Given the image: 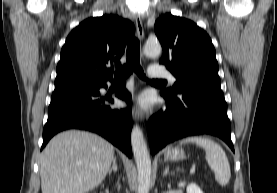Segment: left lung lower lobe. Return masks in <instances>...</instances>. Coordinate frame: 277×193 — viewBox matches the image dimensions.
Wrapping results in <instances>:
<instances>
[{"instance_id":"obj_1","label":"left lung lower lobe","mask_w":277,"mask_h":193,"mask_svg":"<svg viewBox=\"0 0 277 193\" xmlns=\"http://www.w3.org/2000/svg\"><path fill=\"white\" fill-rule=\"evenodd\" d=\"M161 95L166 100V110L153 115L147 125L152 154L174 140L199 134L218 136L234 152L227 103L220 85L191 87L177 98Z\"/></svg>"}]
</instances>
